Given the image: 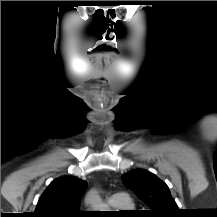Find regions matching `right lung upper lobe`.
Returning a JSON list of instances; mask_svg holds the SVG:
<instances>
[{
	"mask_svg": "<svg viewBox=\"0 0 217 217\" xmlns=\"http://www.w3.org/2000/svg\"><path fill=\"white\" fill-rule=\"evenodd\" d=\"M87 182L72 176H64L51 182L41 195L32 217H82L80 199Z\"/></svg>",
	"mask_w": 217,
	"mask_h": 217,
	"instance_id": "cb5924a9",
	"label": "right lung upper lobe"
}]
</instances>
